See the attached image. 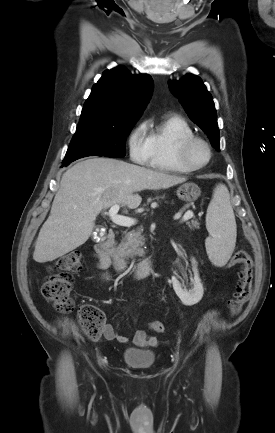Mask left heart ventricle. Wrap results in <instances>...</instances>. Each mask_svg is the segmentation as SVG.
Wrapping results in <instances>:
<instances>
[{
	"instance_id": "obj_1",
	"label": "left heart ventricle",
	"mask_w": 275,
	"mask_h": 433,
	"mask_svg": "<svg viewBox=\"0 0 275 433\" xmlns=\"http://www.w3.org/2000/svg\"><path fill=\"white\" fill-rule=\"evenodd\" d=\"M191 157L196 163H203L208 158L206 148L201 144H196L191 151Z\"/></svg>"
}]
</instances>
